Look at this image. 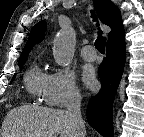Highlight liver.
Segmentation results:
<instances>
[{
    "label": "liver",
    "mask_w": 144,
    "mask_h": 137,
    "mask_svg": "<svg viewBox=\"0 0 144 137\" xmlns=\"http://www.w3.org/2000/svg\"><path fill=\"white\" fill-rule=\"evenodd\" d=\"M75 133L68 111L25 105L7 113L1 137H75Z\"/></svg>",
    "instance_id": "liver-1"
}]
</instances>
